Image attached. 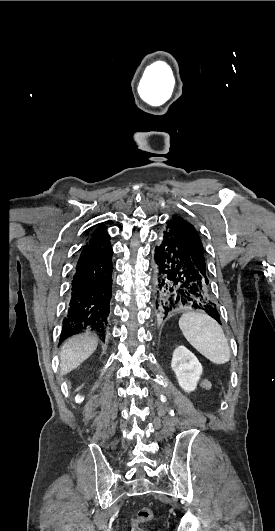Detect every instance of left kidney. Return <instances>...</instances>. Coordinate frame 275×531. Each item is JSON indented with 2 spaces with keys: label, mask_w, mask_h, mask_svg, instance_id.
<instances>
[{
  "label": "left kidney",
  "mask_w": 275,
  "mask_h": 531,
  "mask_svg": "<svg viewBox=\"0 0 275 531\" xmlns=\"http://www.w3.org/2000/svg\"><path fill=\"white\" fill-rule=\"evenodd\" d=\"M171 367L181 389L186 391V393L195 391L203 371L202 365L199 363L197 357L181 345L173 353Z\"/></svg>",
  "instance_id": "obj_1"
}]
</instances>
